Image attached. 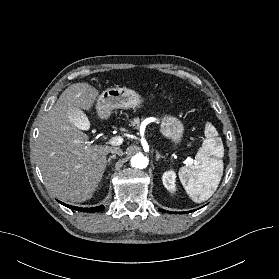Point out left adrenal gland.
<instances>
[{
  "mask_svg": "<svg viewBox=\"0 0 279 279\" xmlns=\"http://www.w3.org/2000/svg\"><path fill=\"white\" fill-rule=\"evenodd\" d=\"M161 158L165 159L164 156L160 155L158 151H156V161H159Z\"/></svg>",
  "mask_w": 279,
  "mask_h": 279,
  "instance_id": "left-adrenal-gland-1",
  "label": "left adrenal gland"
}]
</instances>
